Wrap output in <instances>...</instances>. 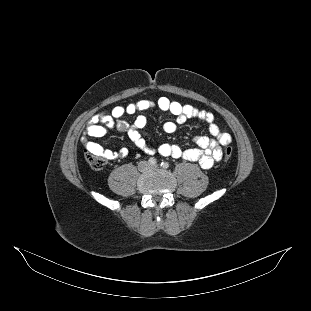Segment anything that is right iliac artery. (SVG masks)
I'll return each mask as SVG.
<instances>
[{"label":"right iliac artery","mask_w":311,"mask_h":311,"mask_svg":"<svg viewBox=\"0 0 311 311\" xmlns=\"http://www.w3.org/2000/svg\"><path fill=\"white\" fill-rule=\"evenodd\" d=\"M148 163H149L150 165H155V164L157 163V161H156L155 158L151 157V158L148 160Z\"/></svg>","instance_id":"obj_1"}]
</instances>
